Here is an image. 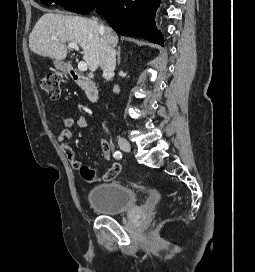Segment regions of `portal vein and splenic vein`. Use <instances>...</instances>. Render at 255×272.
I'll list each match as a JSON object with an SVG mask.
<instances>
[{
	"instance_id": "portal-vein-and-splenic-vein-1",
	"label": "portal vein and splenic vein",
	"mask_w": 255,
	"mask_h": 272,
	"mask_svg": "<svg viewBox=\"0 0 255 272\" xmlns=\"http://www.w3.org/2000/svg\"><path fill=\"white\" fill-rule=\"evenodd\" d=\"M68 47H69L70 49H75V50H77V51L79 50V47L77 46L76 43L70 42V43H68ZM78 69H79L80 71H87V69H88L87 63L84 62V61H80V62L78 63Z\"/></svg>"
}]
</instances>
